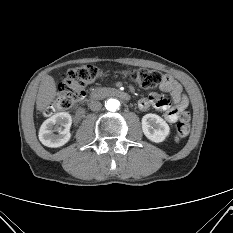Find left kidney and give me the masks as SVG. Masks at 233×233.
Masks as SVG:
<instances>
[{
    "label": "left kidney",
    "instance_id": "5707ae66",
    "mask_svg": "<svg viewBox=\"0 0 233 233\" xmlns=\"http://www.w3.org/2000/svg\"><path fill=\"white\" fill-rule=\"evenodd\" d=\"M144 135L155 143L163 142L170 134L169 125L156 114H146L142 118Z\"/></svg>",
    "mask_w": 233,
    "mask_h": 233
}]
</instances>
